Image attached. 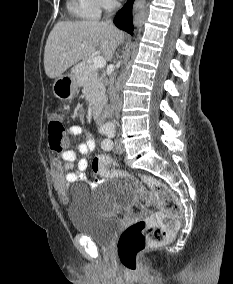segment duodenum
<instances>
[{
  "mask_svg": "<svg viewBox=\"0 0 233 284\" xmlns=\"http://www.w3.org/2000/svg\"><path fill=\"white\" fill-rule=\"evenodd\" d=\"M92 116L94 120L101 126L100 130L102 128H105L103 126L104 117H103V107L101 105H95L92 109Z\"/></svg>",
  "mask_w": 233,
  "mask_h": 284,
  "instance_id": "obj_1",
  "label": "duodenum"
}]
</instances>
